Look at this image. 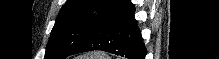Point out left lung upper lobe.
Listing matches in <instances>:
<instances>
[{"label": "left lung upper lobe", "instance_id": "1", "mask_svg": "<svg viewBox=\"0 0 219 59\" xmlns=\"http://www.w3.org/2000/svg\"><path fill=\"white\" fill-rule=\"evenodd\" d=\"M111 0H67L56 18L44 59H65L94 31Z\"/></svg>", "mask_w": 219, "mask_h": 59}]
</instances>
